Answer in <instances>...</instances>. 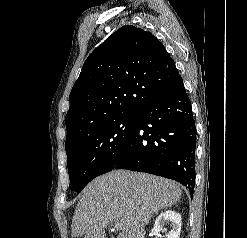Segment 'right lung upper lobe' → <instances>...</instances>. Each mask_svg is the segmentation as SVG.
<instances>
[{"label":"right lung upper lobe","mask_w":247,"mask_h":238,"mask_svg":"<svg viewBox=\"0 0 247 238\" xmlns=\"http://www.w3.org/2000/svg\"><path fill=\"white\" fill-rule=\"evenodd\" d=\"M163 44L150 32L123 26L86 59L70 93L65 146L86 130L138 113L179 78Z\"/></svg>","instance_id":"cb5924a9"}]
</instances>
